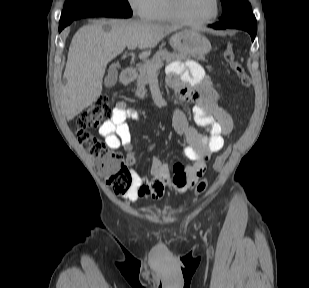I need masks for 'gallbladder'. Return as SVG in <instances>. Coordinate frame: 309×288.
<instances>
[{
    "mask_svg": "<svg viewBox=\"0 0 309 288\" xmlns=\"http://www.w3.org/2000/svg\"><path fill=\"white\" fill-rule=\"evenodd\" d=\"M117 79H118V73H117L116 69L111 67L109 69V73H108L107 77L105 78L104 84L108 88L113 87L116 84Z\"/></svg>",
    "mask_w": 309,
    "mask_h": 288,
    "instance_id": "1",
    "label": "gallbladder"
}]
</instances>
